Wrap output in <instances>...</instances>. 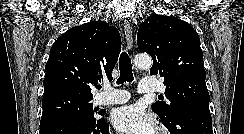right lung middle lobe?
Wrapping results in <instances>:
<instances>
[{"mask_svg": "<svg viewBox=\"0 0 244 134\" xmlns=\"http://www.w3.org/2000/svg\"><path fill=\"white\" fill-rule=\"evenodd\" d=\"M91 99H81L70 96H62L42 101L43 113L40 121V129L47 123L62 118H82L94 119L97 109L90 103ZM105 110L99 111L100 115L105 114Z\"/></svg>", "mask_w": 244, "mask_h": 134, "instance_id": "1", "label": "right lung middle lobe"}]
</instances>
